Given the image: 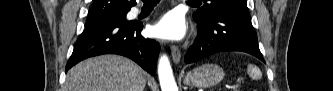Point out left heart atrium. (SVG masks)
<instances>
[{
  "instance_id": "left-heart-atrium-1",
  "label": "left heart atrium",
  "mask_w": 333,
  "mask_h": 91,
  "mask_svg": "<svg viewBox=\"0 0 333 91\" xmlns=\"http://www.w3.org/2000/svg\"><path fill=\"white\" fill-rule=\"evenodd\" d=\"M186 29L184 18L176 12H169L154 24L152 35L161 40L177 41L185 36Z\"/></svg>"
}]
</instances>
